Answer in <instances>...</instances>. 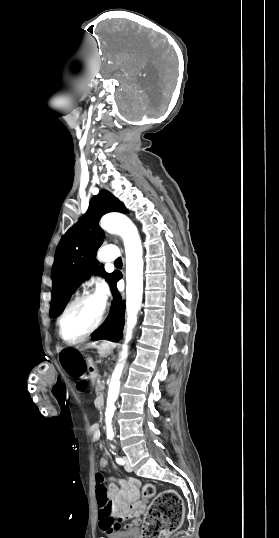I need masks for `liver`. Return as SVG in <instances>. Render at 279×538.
Returning a JSON list of instances; mask_svg holds the SVG:
<instances>
[{"instance_id": "6515ba94", "label": "liver", "mask_w": 279, "mask_h": 538, "mask_svg": "<svg viewBox=\"0 0 279 538\" xmlns=\"http://www.w3.org/2000/svg\"><path fill=\"white\" fill-rule=\"evenodd\" d=\"M90 346H93V348H97L95 342H92V344H90Z\"/></svg>"}]
</instances>
